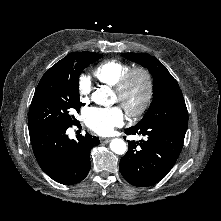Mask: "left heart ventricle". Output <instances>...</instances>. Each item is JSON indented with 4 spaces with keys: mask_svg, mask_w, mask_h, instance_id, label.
Instances as JSON below:
<instances>
[{
    "mask_svg": "<svg viewBox=\"0 0 221 221\" xmlns=\"http://www.w3.org/2000/svg\"><path fill=\"white\" fill-rule=\"evenodd\" d=\"M144 94V82L141 78H136L133 81L129 94L127 96V104L131 107L137 106ZM115 100H117V96H114ZM118 101V100H117Z\"/></svg>",
    "mask_w": 221,
    "mask_h": 221,
    "instance_id": "left-heart-ventricle-1",
    "label": "left heart ventricle"
}]
</instances>
